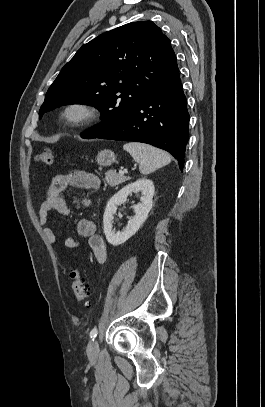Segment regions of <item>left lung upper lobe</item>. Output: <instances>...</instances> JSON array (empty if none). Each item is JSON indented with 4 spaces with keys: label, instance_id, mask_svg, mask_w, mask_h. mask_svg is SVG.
I'll list each match as a JSON object with an SVG mask.
<instances>
[{
    "label": "left lung upper lobe",
    "instance_id": "left-lung-upper-lobe-1",
    "mask_svg": "<svg viewBox=\"0 0 265 407\" xmlns=\"http://www.w3.org/2000/svg\"><path fill=\"white\" fill-rule=\"evenodd\" d=\"M178 71L171 42L158 26L128 23L76 52L48 89L39 117L62 105H92L101 111L102 121L81 136L91 139L119 124Z\"/></svg>",
    "mask_w": 265,
    "mask_h": 407
}]
</instances>
